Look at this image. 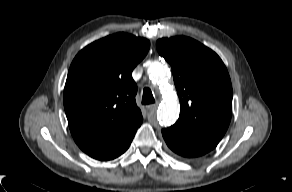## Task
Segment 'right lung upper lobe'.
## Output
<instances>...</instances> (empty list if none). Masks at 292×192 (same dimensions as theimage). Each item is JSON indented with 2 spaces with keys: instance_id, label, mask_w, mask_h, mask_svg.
Wrapping results in <instances>:
<instances>
[{
  "instance_id": "right-lung-upper-lobe-1",
  "label": "right lung upper lobe",
  "mask_w": 292,
  "mask_h": 192,
  "mask_svg": "<svg viewBox=\"0 0 292 192\" xmlns=\"http://www.w3.org/2000/svg\"><path fill=\"white\" fill-rule=\"evenodd\" d=\"M149 47L145 38L116 33L76 55L64 88L65 113L75 142L108 139L142 123L132 71Z\"/></svg>"
}]
</instances>
